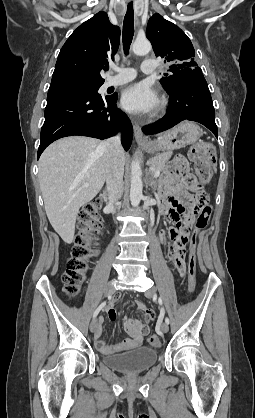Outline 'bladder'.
Segmentation results:
<instances>
[{"label":"bladder","instance_id":"obj_1","mask_svg":"<svg viewBox=\"0 0 255 418\" xmlns=\"http://www.w3.org/2000/svg\"><path fill=\"white\" fill-rule=\"evenodd\" d=\"M102 360L115 370L138 373L147 370L157 362L158 351L150 347L138 346L126 352L105 355Z\"/></svg>","mask_w":255,"mask_h":418}]
</instances>
